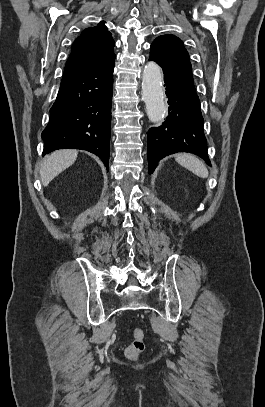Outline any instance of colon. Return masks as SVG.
I'll list each match as a JSON object with an SVG mask.
<instances>
[{
  "label": "colon",
  "instance_id": "1",
  "mask_svg": "<svg viewBox=\"0 0 265 407\" xmlns=\"http://www.w3.org/2000/svg\"><path fill=\"white\" fill-rule=\"evenodd\" d=\"M146 335L145 331L142 328H135L132 331V341L125 349V355L129 359L138 358L146 348Z\"/></svg>",
  "mask_w": 265,
  "mask_h": 407
}]
</instances>
